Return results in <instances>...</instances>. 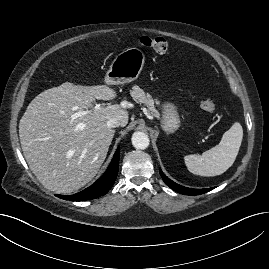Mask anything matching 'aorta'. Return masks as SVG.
Listing matches in <instances>:
<instances>
[{
  "label": "aorta",
  "mask_w": 269,
  "mask_h": 269,
  "mask_svg": "<svg viewBox=\"0 0 269 269\" xmlns=\"http://www.w3.org/2000/svg\"><path fill=\"white\" fill-rule=\"evenodd\" d=\"M132 145L136 149L144 150L149 146V138L148 135L142 131L134 132L132 135Z\"/></svg>",
  "instance_id": "obj_1"
}]
</instances>
